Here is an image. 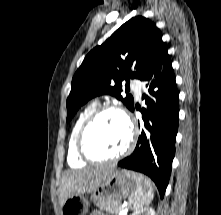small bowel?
<instances>
[{"label":"small bowel","instance_id":"small-bowel-1","mask_svg":"<svg viewBox=\"0 0 221 215\" xmlns=\"http://www.w3.org/2000/svg\"><path fill=\"white\" fill-rule=\"evenodd\" d=\"M90 215H105V214H103V213H101V212H93L92 214H90Z\"/></svg>","mask_w":221,"mask_h":215}]
</instances>
